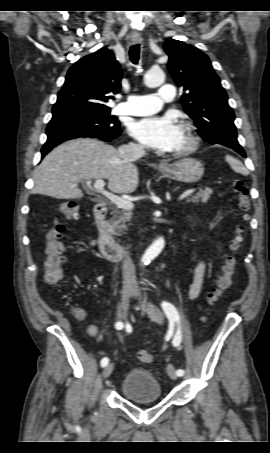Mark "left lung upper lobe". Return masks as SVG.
Here are the masks:
<instances>
[{
    "instance_id": "1",
    "label": "left lung upper lobe",
    "mask_w": 270,
    "mask_h": 453,
    "mask_svg": "<svg viewBox=\"0 0 270 453\" xmlns=\"http://www.w3.org/2000/svg\"><path fill=\"white\" fill-rule=\"evenodd\" d=\"M168 69L176 84L184 87L183 108L196 122L198 133L211 144L239 145L235 115L228 97L206 54L179 40L167 39Z\"/></svg>"
}]
</instances>
